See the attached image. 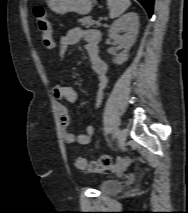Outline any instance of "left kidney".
Wrapping results in <instances>:
<instances>
[{"label": "left kidney", "instance_id": "left-kidney-1", "mask_svg": "<svg viewBox=\"0 0 188 213\" xmlns=\"http://www.w3.org/2000/svg\"><path fill=\"white\" fill-rule=\"evenodd\" d=\"M139 28V17L137 13L129 12L118 18L111 25L108 35L123 51L116 55L113 62L117 65L123 64L128 59V52L136 41ZM124 33V34H122Z\"/></svg>", "mask_w": 188, "mask_h": 213}]
</instances>
